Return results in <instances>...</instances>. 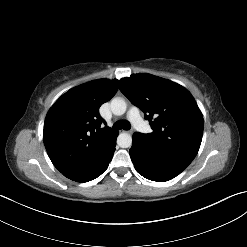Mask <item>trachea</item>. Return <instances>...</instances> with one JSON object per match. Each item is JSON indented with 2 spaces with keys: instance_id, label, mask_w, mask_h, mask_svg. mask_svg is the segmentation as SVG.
Here are the masks:
<instances>
[{
  "instance_id": "trachea-1",
  "label": "trachea",
  "mask_w": 247,
  "mask_h": 247,
  "mask_svg": "<svg viewBox=\"0 0 247 247\" xmlns=\"http://www.w3.org/2000/svg\"><path fill=\"white\" fill-rule=\"evenodd\" d=\"M113 128L116 130H120V129L129 130L131 126L128 122L120 120L114 123Z\"/></svg>"
}]
</instances>
